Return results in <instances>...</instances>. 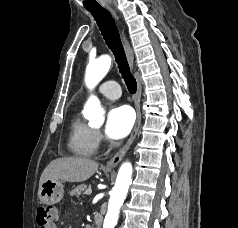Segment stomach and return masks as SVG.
<instances>
[{
	"label": "stomach",
	"instance_id": "0dacf381",
	"mask_svg": "<svg viewBox=\"0 0 238 228\" xmlns=\"http://www.w3.org/2000/svg\"><path fill=\"white\" fill-rule=\"evenodd\" d=\"M63 194V184L60 180H46L39 186L38 190V197L45 204L58 203L63 198Z\"/></svg>",
	"mask_w": 238,
	"mask_h": 228
}]
</instances>
